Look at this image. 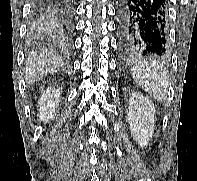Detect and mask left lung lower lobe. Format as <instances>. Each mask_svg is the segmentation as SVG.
Returning <instances> with one entry per match:
<instances>
[{
  "mask_svg": "<svg viewBox=\"0 0 197 181\" xmlns=\"http://www.w3.org/2000/svg\"><path fill=\"white\" fill-rule=\"evenodd\" d=\"M119 51L125 57L168 53L166 0H118Z\"/></svg>",
  "mask_w": 197,
  "mask_h": 181,
  "instance_id": "left-lung-lower-lobe-1",
  "label": "left lung lower lobe"
}]
</instances>
